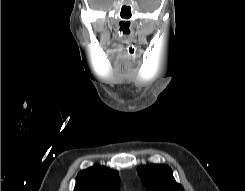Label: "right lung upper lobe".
<instances>
[{
  "instance_id": "cb5924a9",
  "label": "right lung upper lobe",
  "mask_w": 245,
  "mask_h": 191,
  "mask_svg": "<svg viewBox=\"0 0 245 191\" xmlns=\"http://www.w3.org/2000/svg\"><path fill=\"white\" fill-rule=\"evenodd\" d=\"M119 182L117 171L94 165L78 174L74 191H118Z\"/></svg>"
}]
</instances>
